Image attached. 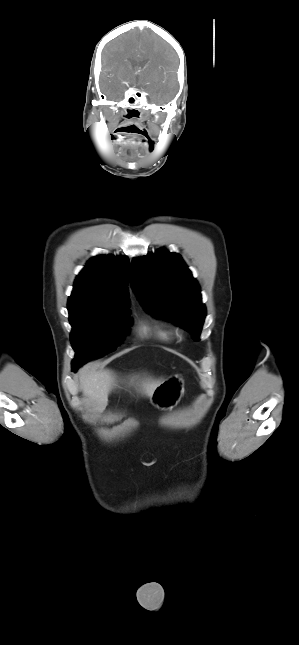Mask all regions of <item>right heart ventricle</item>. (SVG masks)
<instances>
[{"label": "right heart ventricle", "mask_w": 299, "mask_h": 645, "mask_svg": "<svg viewBox=\"0 0 299 645\" xmlns=\"http://www.w3.org/2000/svg\"><path fill=\"white\" fill-rule=\"evenodd\" d=\"M138 334L141 337H155L160 340H168L171 332L149 318H143L138 326Z\"/></svg>", "instance_id": "e07e8e85"}]
</instances>
